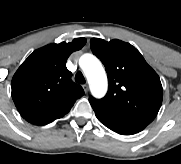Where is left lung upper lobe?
Returning a JSON list of instances; mask_svg holds the SVG:
<instances>
[{"label":"left lung upper lobe","mask_w":181,"mask_h":164,"mask_svg":"<svg viewBox=\"0 0 181 164\" xmlns=\"http://www.w3.org/2000/svg\"><path fill=\"white\" fill-rule=\"evenodd\" d=\"M91 50L104 64L108 92L102 99L90 96L92 107L105 108L146 125L156 117L163 98L157 73L131 44L92 38Z\"/></svg>","instance_id":"left-lung-upper-lobe-1"}]
</instances>
